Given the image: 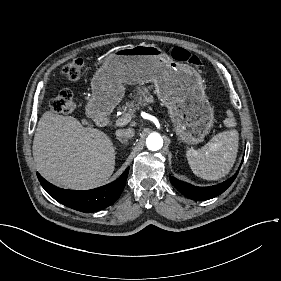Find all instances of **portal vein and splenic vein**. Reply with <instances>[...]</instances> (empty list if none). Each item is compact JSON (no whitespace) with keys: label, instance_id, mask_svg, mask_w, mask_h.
<instances>
[{"label":"portal vein and splenic vein","instance_id":"18ae733b","mask_svg":"<svg viewBox=\"0 0 281 281\" xmlns=\"http://www.w3.org/2000/svg\"><path fill=\"white\" fill-rule=\"evenodd\" d=\"M129 122V117L128 116H123L122 118L117 119L114 122V127L115 128H120L123 125L127 124Z\"/></svg>","mask_w":281,"mask_h":281}]
</instances>
